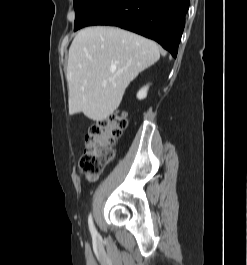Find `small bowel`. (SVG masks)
<instances>
[{
  "label": "small bowel",
  "mask_w": 247,
  "mask_h": 265,
  "mask_svg": "<svg viewBox=\"0 0 247 265\" xmlns=\"http://www.w3.org/2000/svg\"><path fill=\"white\" fill-rule=\"evenodd\" d=\"M87 178L90 180V181H95L97 179V176L96 175H87Z\"/></svg>",
  "instance_id": "obj_1"
}]
</instances>
